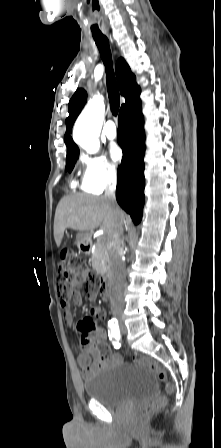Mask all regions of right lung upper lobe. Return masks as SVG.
Returning <instances> with one entry per match:
<instances>
[{"label":"right lung upper lobe","instance_id":"1","mask_svg":"<svg viewBox=\"0 0 221 448\" xmlns=\"http://www.w3.org/2000/svg\"><path fill=\"white\" fill-rule=\"evenodd\" d=\"M115 72L121 95L126 99L125 104L121 106L120 110H122L139 100L141 90L136 84L135 75L131 72L130 67L123 58L117 61ZM86 99L87 93L83 89H78L69 101V116L65 121L67 128L64 137L67 146V156L79 153V148L72 140L70 133L75 119L86 103Z\"/></svg>","mask_w":221,"mask_h":448}]
</instances>
